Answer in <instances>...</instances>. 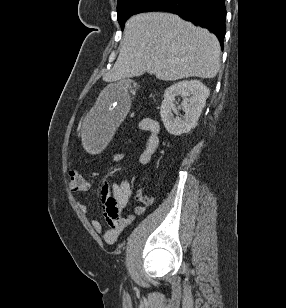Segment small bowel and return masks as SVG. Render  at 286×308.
I'll list each match as a JSON object with an SVG mask.
<instances>
[{"mask_svg": "<svg viewBox=\"0 0 286 308\" xmlns=\"http://www.w3.org/2000/svg\"><path fill=\"white\" fill-rule=\"evenodd\" d=\"M138 130L149 134L146 147L139 155V163L146 165L150 162L152 155L159 146V124L152 118H142L138 122ZM124 156L122 150L114 153L115 159H121ZM131 195V187L125 180L114 182L105 181L100 188V199L103 205L104 216L108 224V228L104 230L100 221L91 219L92 227L99 233H102L104 240L112 244L116 242L118 236L124 227H126L134 219L135 215H141L145 212L146 207L153 202L151 196L145 195L142 189L136 194L137 200L140 202L135 207V215L123 216L122 209L125 207L129 196ZM79 209L83 213H87L88 208L82 203H78Z\"/></svg>", "mask_w": 286, "mask_h": 308, "instance_id": "1", "label": "small bowel"}]
</instances>
